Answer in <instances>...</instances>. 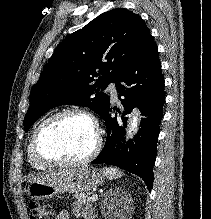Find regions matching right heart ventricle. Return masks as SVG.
<instances>
[{
    "label": "right heart ventricle",
    "mask_w": 211,
    "mask_h": 219,
    "mask_svg": "<svg viewBox=\"0 0 211 219\" xmlns=\"http://www.w3.org/2000/svg\"><path fill=\"white\" fill-rule=\"evenodd\" d=\"M27 152H28V160H29V163L30 165L34 168V169H37V170H46L48 167L41 164L40 162H38L34 156L32 155L31 153V150H30V143L28 144V148H27Z\"/></svg>",
    "instance_id": "obj_1"
}]
</instances>
